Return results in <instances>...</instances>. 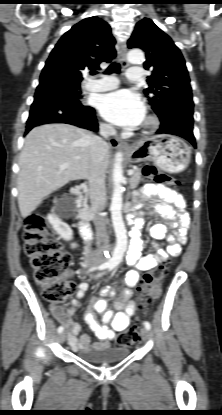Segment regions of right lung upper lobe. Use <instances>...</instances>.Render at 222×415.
<instances>
[{"mask_svg": "<svg viewBox=\"0 0 222 415\" xmlns=\"http://www.w3.org/2000/svg\"><path fill=\"white\" fill-rule=\"evenodd\" d=\"M110 26L98 17L86 18L67 31L50 53L40 78L53 75L80 85L82 71L99 69L115 56Z\"/></svg>", "mask_w": 222, "mask_h": 415, "instance_id": "cb5924a9", "label": "right lung upper lobe"}]
</instances>
